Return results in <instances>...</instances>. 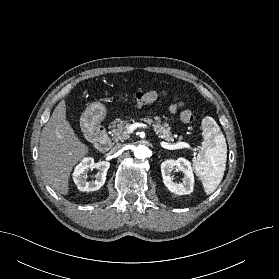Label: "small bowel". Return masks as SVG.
I'll list each match as a JSON object with an SVG mask.
<instances>
[{"mask_svg":"<svg viewBox=\"0 0 279 279\" xmlns=\"http://www.w3.org/2000/svg\"><path fill=\"white\" fill-rule=\"evenodd\" d=\"M169 110L171 113H175L177 111V105L176 104H171L169 107Z\"/></svg>","mask_w":279,"mask_h":279,"instance_id":"c3829d8e","label":"small bowel"}]
</instances>
